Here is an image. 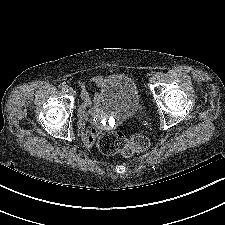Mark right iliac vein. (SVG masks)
Masks as SVG:
<instances>
[{
  "label": "right iliac vein",
  "instance_id": "63e3f726",
  "mask_svg": "<svg viewBox=\"0 0 225 225\" xmlns=\"http://www.w3.org/2000/svg\"><path fill=\"white\" fill-rule=\"evenodd\" d=\"M68 93H69L71 96H75V94H76V92H75L72 88H69Z\"/></svg>",
  "mask_w": 225,
  "mask_h": 225
}]
</instances>
